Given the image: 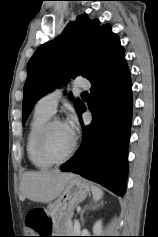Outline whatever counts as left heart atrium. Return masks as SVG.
<instances>
[{"label":"left heart atrium","mask_w":158,"mask_h":237,"mask_svg":"<svg viewBox=\"0 0 158 237\" xmlns=\"http://www.w3.org/2000/svg\"><path fill=\"white\" fill-rule=\"evenodd\" d=\"M65 128L69 132V134L74 137L77 129V121L75 116H70L66 122L64 123Z\"/></svg>","instance_id":"obj_1"}]
</instances>
